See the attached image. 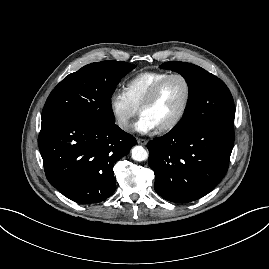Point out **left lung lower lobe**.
<instances>
[{
    "mask_svg": "<svg viewBox=\"0 0 269 269\" xmlns=\"http://www.w3.org/2000/svg\"><path fill=\"white\" fill-rule=\"evenodd\" d=\"M234 142V121L218 120L188 132L170 131L150 141L155 191L175 203L198 200L225 176Z\"/></svg>",
    "mask_w": 269,
    "mask_h": 269,
    "instance_id": "0a47b994",
    "label": "left lung lower lobe"
}]
</instances>
